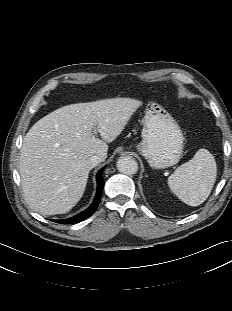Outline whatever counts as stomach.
Segmentation results:
<instances>
[{"instance_id":"stomach-1","label":"stomach","mask_w":232,"mask_h":311,"mask_svg":"<svg viewBox=\"0 0 232 311\" xmlns=\"http://www.w3.org/2000/svg\"><path fill=\"white\" fill-rule=\"evenodd\" d=\"M184 136L175 119L159 104L149 103L143 118L142 141L137 150L149 165L163 169L177 164Z\"/></svg>"}]
</instances>
